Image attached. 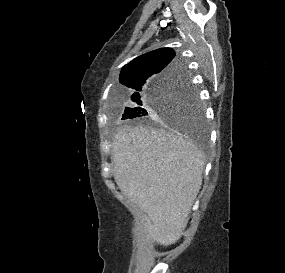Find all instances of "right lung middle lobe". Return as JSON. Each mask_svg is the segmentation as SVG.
<instances>
[{
	"mask_svg": "<svg viewBox=\"0 0 285 273\" xmlns=\"http://www.w3.org/2000/svg\"><path fill=\"white\" fill-rule=\"evenodd\" d=\"M131 101V107L124 111L123 120H162L194 131L204 126L197 94L181 64L179 70L155 80Z\"/></svg>",
	"mask_w": 285,
	"mask_h": 273,
	"instance_id": "obj_1",
	"label": "right lung middle lobe"
}]
</instances>
